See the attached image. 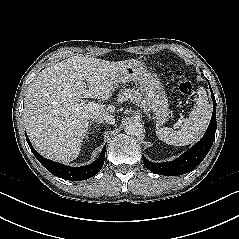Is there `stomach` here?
I'll return each mask as SVG.
<instances>
[{
	"instance_id": "obj_1",
	"label": "stomach",
	"mask_w": 239,
	"mask_h": 239,
	"mask_svg": "<svg viewBox=\"0 0 239 239\" xmlns=\"http://www.w3.org/2000/svg\"><path fill=\"white\" fill-rule=\"evenodd\" d=\"M134 82L145 96L146 105L154 113L156 122L161 125L170 116L169 103L157 74L148 71L138 60H129L119 73L117 84Z\"/></svg>"
}]
</instances>
